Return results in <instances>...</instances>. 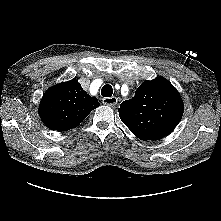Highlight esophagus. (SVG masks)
<instances>
[{
    "label": "esophagus",
    "mask_w": 221,
    "mask_h": 221,
    "mask_svg": "<svg viewBox=\"0 0 221 221\" xmlns=\"http://www.w3.org/2000/svg\"><path fill=\"white\" fill-rule=\"evenodd\" d=\"M103 104L108 105V106H115L118 102L117 97H105L102 99Z\"/></svg>",
    "instance_id": "esophagus-1"
}]
</instances>
